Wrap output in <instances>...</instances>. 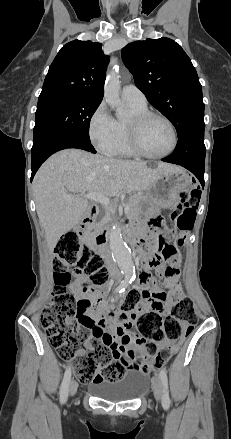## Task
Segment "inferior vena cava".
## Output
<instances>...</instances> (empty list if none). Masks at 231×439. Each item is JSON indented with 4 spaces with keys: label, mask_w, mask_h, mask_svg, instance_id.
<instances>
[{
    "label": "inferior vena cava",
    "mask_w": 231,
    "mask_h": 439,
    "mask_svg": "<svg viewBox=\"0 0 231 439\" xmlns=\"http://www.w3.org/2000/svg\"><path fill=\"white\" fill-rule=\"evenodd\" d=\"M107 264H108V269H109L111 274L117 273V271H118L117 267L110 259L107 260Z\"/></svg>",
    "instance_id": "1"
}]
</instances>
